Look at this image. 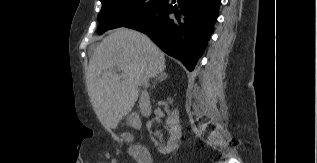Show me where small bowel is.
I'll list each match as a JSON object with an SVG mask.
<instances>
[{
    "instance_id": "c3829d8e",
    "label": "small bowel",
    "mask_w": 317,
    "mask_h": 163,
    "mask_svg": "<svg viewBox=\"0 0 317 163\" xmlns=\"http://www.w3.org/2000/svg\"><path fill=\"white\" fill-rule=\"evenodd\" d=\"M130 152L138 163H152V158L149 152L146 156H138L133 147L131 148Z\"/></svg>"
}]
</instances>
